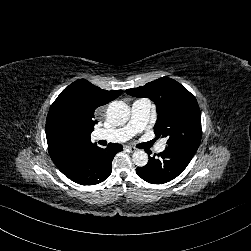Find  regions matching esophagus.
<instances>
[{"mask_svg":"<svg viewBox=\"0 0 251 251\" xmlns=\"http://www.w3.org/2000/svg\"><path fill=\"white\" fill-rule=\"evenodd\" d=\"M127 150H129V152L133 153L136 151V148L132 147V146H126L125 147Z\"/></svg>","mask_w":251,"mask_h":251,"instance_id":"1","label":"esophagus"}]
</instances>
